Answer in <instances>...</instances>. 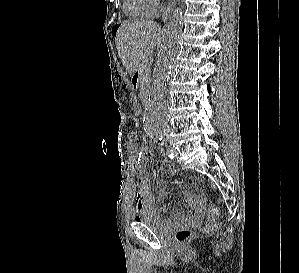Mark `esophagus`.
Here are the masks:
<instances>
[{
    "mask_svg": "<svg viewBox=\"0 0 299 273\" xmlns=\"http://www.w3.org/2000/svg\"><path fill=\"white\" fill-rule=\"evenodd\" d=\"M177 3V0H170L168 6L165 8L162 14V21H167L168 17L170 16V13L173 11Z\"/></svg>",
    "mask_w": 299,
    "mask_h": 273,
    "instance_id": "34e87169",
    "label": "esophagus"
}]
</instances>
